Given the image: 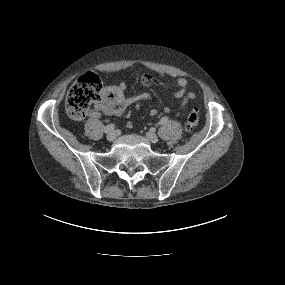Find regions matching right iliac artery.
<instances>
[{
  "instance_id": "right-iliac-artery-1",
  "label": "right iliac artery",
  "mask_w": 285,
  "mask_h": 285,
  "mask_svg": "<svg viewBox=\"0 0 285 285\" xmlns=\"http://www.w3.org/2000/svg\"><path fill=\"white\" fill-rule=\"evenodd\" d=\"M114 128H115V125H114V124H109V125H107V126L104 128V132H105V133H109V132L113 131Z\"/></svg>"
}]
</instances>
